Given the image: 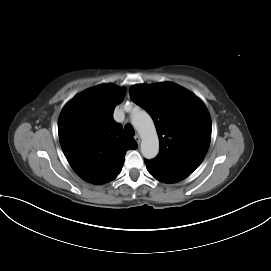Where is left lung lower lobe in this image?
Wrapping results in <instances>:
<instances>
[{"label":"left lung lower lobe","instance_id":"left-lung-lower-lobe-1","mask_svg":"<svg viewBox=\"0 0 271 271\" xmlns=\"http://www.w3.org/2000/svg\"><path fill=\"white\" fill-rule=\"evenodd\" d=\"M148 172L161 182L175 183L188 177L193 171L156 160H144Z\"/></svg>","mask_w":271,"mask_h":271}]
</instances>
